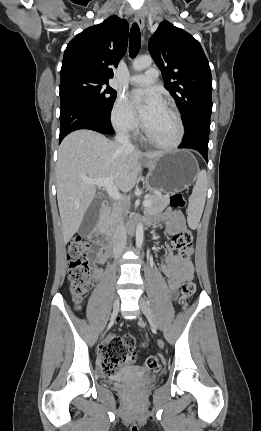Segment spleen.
Instances as JSON below:
<instances>
[{
  "mask_svg": "<svg viewBox=\"0 0 261 431\" xmlns=\"http://www.w3.org/2000/svg\"><path fill=\"white\" fill-rule=\"evenodd\" d=\"M206 192L207 173L203 170L199 173L196 184L189 198V210L195 216L200 217L203 212L206 200Z\"/></svg>",
  "mask_w": 261,
  "mask_h": 431,
  "instance_id": "obj_1",
  "label": "spleen"
}]
</instances>
